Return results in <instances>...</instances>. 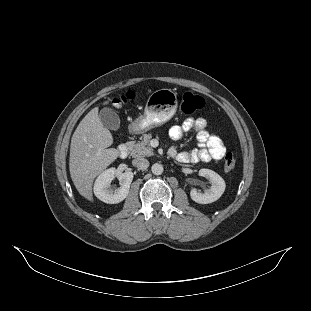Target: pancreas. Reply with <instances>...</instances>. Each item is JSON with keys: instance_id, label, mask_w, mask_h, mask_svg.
<instances>
[{"instance_id": "1", "label": "pancreas", "mask_w": 311, "mask_h": 311, "mask_svg": "<svg viewBox=\"0 0 311 311\" xmlns=\"http://www.w3.org/2000/svg\"><path fill=\"white\" fill-rule=\"evenodd\" d=\"M152 136L150 134H145L142 141L136 143L135 141H127L125 143L128 153L134 157H146L155 154V151L150 146V140Z\"/></svg>"}]
</instances>
